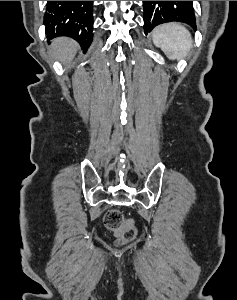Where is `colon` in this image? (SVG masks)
<instances>
[{"instance_id":"1","label":"colon","mask_w":237,"mask_h":300,"mask_svg":"<svg viewBox=\"0 0 237 300\" xmlns=\"http://www.w3.org/2000/svg\"><path fill=\"white\" fill-rule=\"evenodd\" d=\"M104 223L116 235L118 243H128L136 237L137 231L133 220L124 218L122 213L116 209L106 213Z\"/></svg>"}]
</instances>
